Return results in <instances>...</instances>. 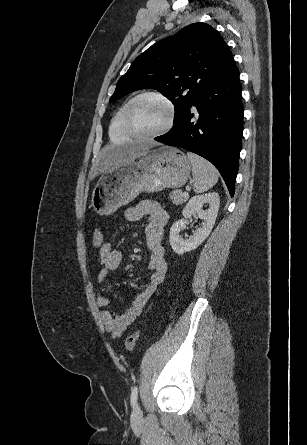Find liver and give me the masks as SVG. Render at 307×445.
<instances>
[{
  "label": "liver",
  "instance_id": "1",
  "mask_svg": "<svg viewBox=\"0 0 307 445\" xmlns=\"http://www.w3.org/2000/svg\"><path fill=\"white\" fill-rule=\"evenodd\" d=\"M154 144H160V142H154ZM139 150H143V146H135V148H116V146H104L99 156L94 168L90 170V180H93L97 174L108 170V168H113L116 164H122V162H127V160H132L138 154Z\"/></svg>",
  "mask_w": 307,
  "mask_h": 445
}]
</instances>
